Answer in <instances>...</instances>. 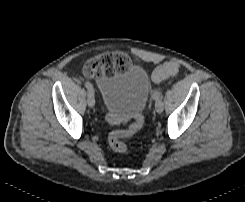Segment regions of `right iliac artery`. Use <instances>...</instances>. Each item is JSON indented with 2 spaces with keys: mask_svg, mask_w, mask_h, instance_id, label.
I'll list each match as a JSON object with an SVG mask.
<instances>
[{
  "mask_svg": "<svg viewBox=\"0 0 245 202\" xmlns=\"http://www.w3.org/2000/svg\"><path fill=\"white\" fill-rule=\"evenodd\" d=\"M85 87L88 89V91H90V92H93V93H94V88H93V86H92V84H91V83H89V82H85Z\"/></svg>",
  "mask_w": 245,
  "mask_h": 202,
  "instance_id": "1",
  "label": "right iliac artery"
}]
</instances>
